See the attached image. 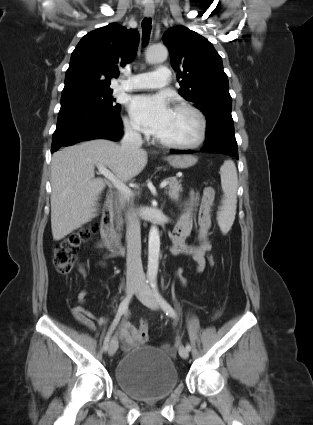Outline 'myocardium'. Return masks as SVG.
Listing matches in <instances>:
<instances>
[{
	"instance_id": "myocardium-1",
	"label": "myocardium",
	"mask_w": 313,
	"mask_h": 425,
	"mask_svg": "<svg viewBox=\"0 0 313 425\" xmlns=\"http://www.w3.org/2000/svg\"><path fill=\"white\" fill-rule=\"evenodd\" d=\"M174 110L186 111L196 117L198 121V126H199L198 134L196 138L191 142L178 143V142L165 141L157 137L156 138L157 142L164 147L172 148V149L187 150V149H194L199 147L205 141V138L207 135L208 124H207L205 115L202 113L201 110H199L197 107L189 103H178L174 106Z\"/></svg>"
}]
</instances>
